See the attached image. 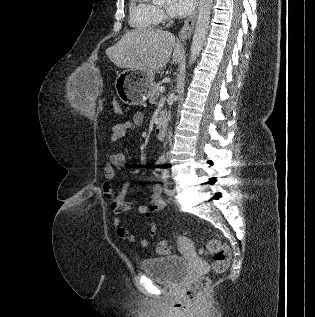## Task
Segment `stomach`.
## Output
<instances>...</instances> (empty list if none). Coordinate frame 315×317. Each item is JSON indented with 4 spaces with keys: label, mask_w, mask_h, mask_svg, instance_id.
Segmentation results:
<instances>
[{
    "label": "stomach",
    "mask_w": 315,
    "mask_h": 317,
    "mask_svg": "<svg viewBox=\"0 0 315 317\" xmlns=\"http://www.w3.org/2000/svg\"><path fill=\"white\" fill-rule=\"evenodd\" d=\"M154 72L126 69L116 78L115 89L120 100L131 106L143 104L154 84Z\"/></svg>",
    "instance_id": "0dacf381"
}]
</instances>
